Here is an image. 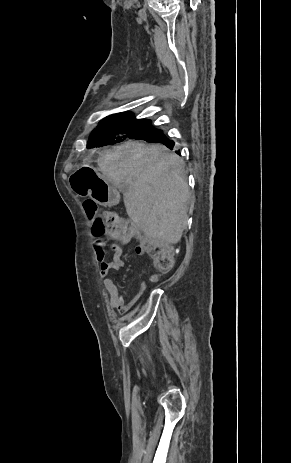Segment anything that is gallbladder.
I'll list each match as a JSON object with an SVG mask.
<instances>
[{"mask_svg": "<svg viewBox=\"0 0 291 463\" xmlns=\"http://www.w3.org/2000/svg\"><path fill=\"white\" fill-rule=\"evenodd\" d=\"M119 190L122 191V192H126L127 191V185L126 184L120 185Z\"/></svg>", "mask_w": 291, "mask_h": 463, "instance_id": "bac80fb5", "label": "gallbladder"}]
</instances>
